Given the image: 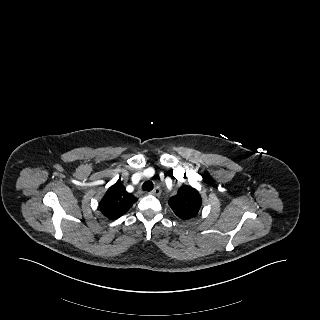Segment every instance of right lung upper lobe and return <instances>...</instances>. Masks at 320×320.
Returning a JSON list of instances; mask_svg holds the SVG:
<instances>
[{"instance_id": "cb5924a9", "label": "right lung upper lobe", "mask_w": 320, "mask_h": 320, "mask_svg": "<svg viewBox=\"0 0 320 320\" xmlns=\"http://www.w3.org/2000/svg\"><path fill=\"white\" fill-rule=\"evenodd\" d=\"M138 199L125 190V187L116 182L112 185L101 202L99 209L104 216L111 220H115L124 215Z\"/></svg>"}]
</instances>
